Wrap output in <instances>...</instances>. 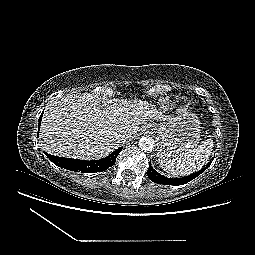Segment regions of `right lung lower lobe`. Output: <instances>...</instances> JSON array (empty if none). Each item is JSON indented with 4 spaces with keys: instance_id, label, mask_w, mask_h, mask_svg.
Returning <instances> with one entry per match:
<instances>
[{
    "instance_id": "obj_1",
    "label": "right lung lower lobe",
    "mask_w": 255,
    "mask_h": 255,
    "mask_svg": "<svg viewBox=\"0 0 255 255\" xmlns=\"http://www.w3.org/2000/svg\"><path fill=\"white\" fill-rule=\"evenodd\" d=\"M42 115L43 113L41 114L39 118V128L41 124ZM121 150H122V147L118 148L112 154H110L109 156L103 159L92 160V161L58 157V156L50 155L48 153H45V154L49 158V160H51L55 165L61 168H64L70 171H75V172L95 173V172L104 171L108 169L109 167H112Z\"/></svg>"
}]
</instances>
